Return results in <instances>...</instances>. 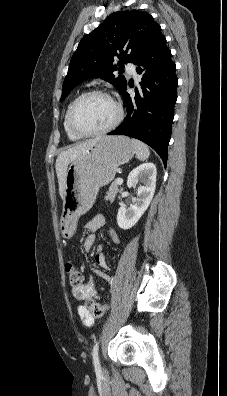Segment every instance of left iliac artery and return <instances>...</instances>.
<instances>
[{"label":"left iliac artery","instance_id":"44dca946","mask_svg":"<svg viewBox=\"0 0 227 396\" xmlns=\"http://www.w3.org/2000/svg\"><path fill=\"white\" fill-rule=\"evenodd\" d=\"M98 349H99V342H96V344L93 347L92 356H93L95 371L97 374L101 373V365L99 362Z\"/></svg>","mask_w":227,"mask_h":396}]
</instances>
